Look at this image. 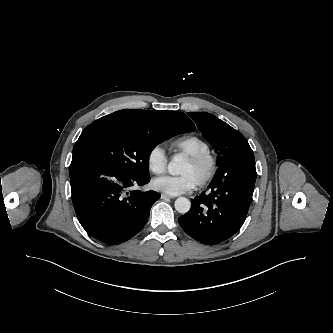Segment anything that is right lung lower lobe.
<instances>
[{
  "label": "right lung lower lobe",
  "instance_id": "right-lung-lower-lobe-1",
  "mask_svg": "<svg viewBox=\"0 0 333 333\" xmlns=\"http://www.w3.org/2000/svg\"><path fill=\"white\" fill-rule=\"evenodd\" d=\"M69 174L80 224L89 235L107 244H120L136 235L159 199L155 191L131 190L147 184L149 175L126 174L85 152L73 153Z\"/></svg>",
  "mask_w": 333,
  "mask_h": 333
}]
</instances>
